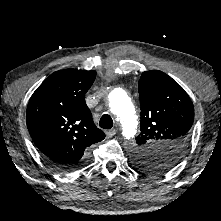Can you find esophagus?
Here are the masks:
<instances>
[{"label": "esophagus", "instance_id": "obj_1", "mask_svg": "<svg viewBox=\"0 0 221 221\" xmlns=\"http://www.w3.org/2000/svg\"><path fill=\"white\" fill-rule=\"evenodd\" d=\"M116 134V129H110L108 131H106V136L107 137H113Z\"/></svg>", "mask_w": 221, "mask_h": 221}]
</instances>
